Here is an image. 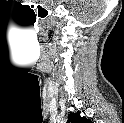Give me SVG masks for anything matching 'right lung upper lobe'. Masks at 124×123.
<instances>
[{
  "label": "right lung upper lobe",
  "instance_id": "obj_1",
  "mask_svg": "<svg viewBox=\"0 0 124 123\" xmlns=\"http://www.w3.org/2000/svg\"><path fill=\"white\" fill-rule=\"evenodd\" d=\"M90 120L86 119L85 117H81L80 113H70L68 115V121L67 123H89Z\"/></svg>",
  "mask_w": 124,
  "mask_h": 123
}]
</instances>
